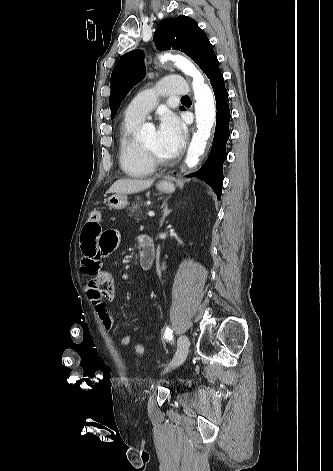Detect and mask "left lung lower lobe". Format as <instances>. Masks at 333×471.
Listing matches in <instances>:
<instances>
[{"label": "left lung lower lobe", "mask_w": 333, "mask_h": 471, "mask_svg": "<svg viewBox=\"0 0 333 471\" xmlns=\"http://www.w3.org/2000/svg\"><path fill=\"white\" fill-rule=\"evenodd\" d=\"M202 71L209 78L216 99V128L211 151L202 167L189 174L188 177H201L211 184L218 198L221 197L223 184L222 164L226 159V142L229 138V121L231 118L228 107V94L224 85L223 75L219 70V62L215 53L206 60ZM184 110V109H183Z\"/></svg>", "instance_id": "1"}]
</instances>
